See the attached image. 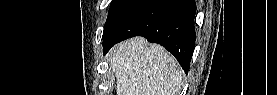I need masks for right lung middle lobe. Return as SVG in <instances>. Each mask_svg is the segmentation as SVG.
Segmentation results:
<instances>
[{
  "mask_svg": "<svg viewBox=\"0 0 277 95\" xmlns=\"http://www.w3.org/2000/svg\"><path fill=\"white\" fill-rule=\"evenodd\" d=\"M145 0H112L104 26L103 41Z\"/></svg>",
  "mask_w": 277,
  "mask_h": 95,
  "instance_id": "right-lung-middle-lobe-1",
  "label": "right lung middle lobe"
}]
</instances>
